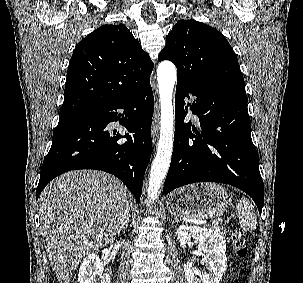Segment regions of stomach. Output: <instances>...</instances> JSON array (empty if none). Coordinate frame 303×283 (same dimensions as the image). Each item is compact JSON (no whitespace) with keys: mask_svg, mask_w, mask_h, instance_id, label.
<instances>
[{"mask_svg":"<svg viewBox=\"0 0 303 283\" xmlns=\"http://www.w3.org/2000/svg\"><path fill=\"white\" fill-rule=\"evenodd\" d=\"M229 196L216 183H199L175 190L168 198V210L177 216L207 219L221 216L227 209Z\"/></svg>","mask_w":303,"mask_h":283,"instance_id":"1","label":"stomach"}]
</instances>
